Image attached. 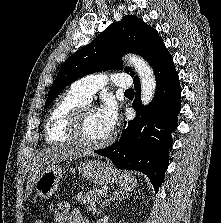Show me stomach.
<instances>
[{
	"instance_id": "0dacf381",
	"label": "stomach",
	"mask_w": 221,
	"mask_h": 223,
	"mask_svg": "<svg viewBox=\"0 0 221 223\" xmlns=\"http://www.w3.org/2000/svg\"><path fill=\"white\" fill-rule=\"evenodd\" d=\"M79 174L96 185L110 184L117 180L115 169L108 163L99 160H86L76 164ZM62 169L59 165H52L43 169L35 181L37 194L43 198H50L57 190Z\"/></svg>"
}]
</instances>
